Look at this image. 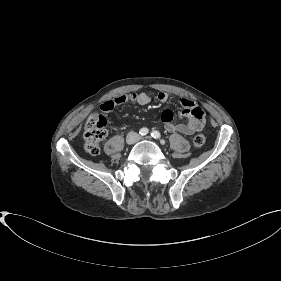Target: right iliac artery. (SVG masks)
Instances as JSON below:
<instances>
[{"mask_svg":"<svg viewBox=\"0 0 281 281\" xmlns=\"http://www.w3.org/2000/svg\"><path fill=\"white\" fill-rule=\"evenodd\" d=\"M139 134L142 136H145L148 134V129L147 128H141L139 131Z\"/></svg>","mask_w":281,"mask_h":281,"instance_id":"1","label":"right iliac artery"}]
</instances>
